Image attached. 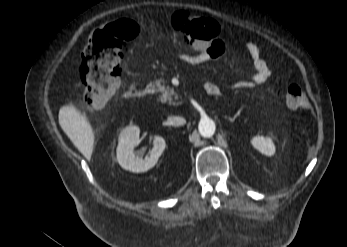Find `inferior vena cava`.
<instances>
[{
  "label": "inferior vena cava",
  "mask_w": 347,
  "mask_h": 247,
  "mask_svg": "<svg viewBox=\"0 0 347 247\" xmlns=\"http://www.w3.org/2000/svg\"><path fill=\"white\" fill-rule=\"evenodd\" d=\"M168 124L174 125V126H180L185 124V119L182 117H169Z\"/></svg>",
  "instance_id": "1"
}]
</instances>
